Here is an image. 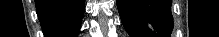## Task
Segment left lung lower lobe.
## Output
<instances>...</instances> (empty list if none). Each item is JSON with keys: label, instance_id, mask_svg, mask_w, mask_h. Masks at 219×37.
Here are the masks:
<instances>
[{"label": "left lung lower lobe", "instance_id": "0a47b994", "mask_svg": "<svg viewBox=\"0 0 219 37\" xmlns=\"http://www.w3.org/2000/svg\"><path fill=\"white\" fill-rule=\"evenodd\" d=\"M171 3V0H117V7L130 37H171Z\"/></svg>", "mask_w": 219, "mask_h": 37}]
</instances>
